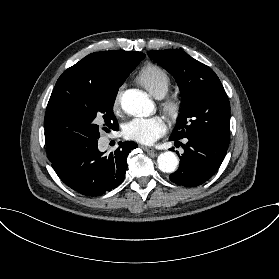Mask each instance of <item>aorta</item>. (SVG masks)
Here are the masks:
<instances>
[{
    "label": "aorta",
    "instance_id": "762f6f07",
    "mask_svg": "<svg viewBox=\"0 0 279 279\" xmlns=\"http://www.w3.org/2000/svg\"><path fill=\"white\" fill-rule=\"evenodd\" d=\"M121 105L125 112L133 116H149L154 110V105L148 95L137 89L125 91ZM157 164L162 172L173 173L177 168L178 159L174 152L165 151L158 156Z\"/></svg>",
    "mask_w": 279,
    "mask_h": 279
}]
</instances>
